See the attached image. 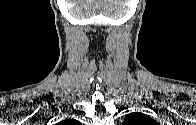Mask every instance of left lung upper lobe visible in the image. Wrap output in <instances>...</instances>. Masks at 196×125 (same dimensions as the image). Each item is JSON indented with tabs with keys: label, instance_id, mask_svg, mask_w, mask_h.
<instances>
[{
	"label": "left lung upper lobe",
	"instance_id": "5c2ea615",
	"mask_svg": "<svg viewBox=\"0 0 196 125\" xmlns=\"http://www.w3.org/2000/svg\"><path fill=\"white\" fill-rule=\"evenodd\" d=\"M123 125H157V123L142 113L134 112L125 117Z\"/></svg>",
	"mask_w": 196,
	"mask_h": 125
}]
</instances>
